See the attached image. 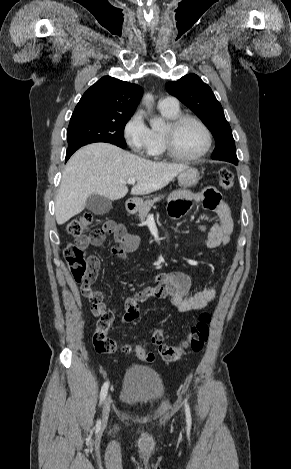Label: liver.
Instances as JSON below:
<instances>
[{"label": "liver", "mask_w": 291, "mask_h": 469, "mask_svg": "<svg viewBox=\"0 0 291 469\" xmlns=\"http://www.w3.org/2000/svg\"><path fill=\"white\" fill-rule=\"evenodd\" d=\"M186 164L153 162L108 143L79 149L67 162L55 202L57 224L83 211L93 194L118 200L128 193V179L137 180L132 195H144L165 187Z\"/></svg>", "instance_id": "liver-1"}]
</instances>
